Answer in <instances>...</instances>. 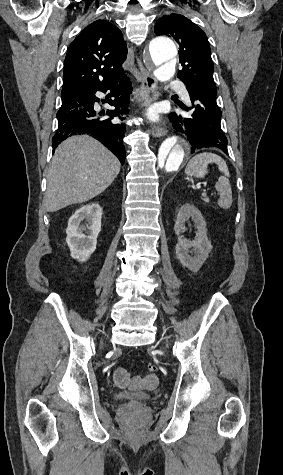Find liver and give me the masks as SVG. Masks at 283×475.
Here are the masks:
<instances>
[{"mask_svg": "<svg viewBox=\"0 0 283 475\" xmlns=\"http://www.w3.org/2000/svg\"><path fill=\"white\" fill-rule=\"evenodd\" d=\"M120 168L116 156L98 140L90 136L67 138L55 150L49 168L47 212L92 200L112 184Z\"/></svg>", "mask_w": 283, "mask_h": 475, "instance_id": "liver-1", "label": "liver"}]
</instances>
